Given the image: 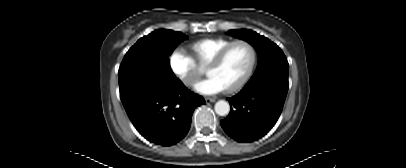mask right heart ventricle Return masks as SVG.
Masks as SVG:
<instances>
[{"instance_id":"1","label":"right heart ventricle","mask_w":406,"mask_h":168,"mask_svg":"<svg viewBox=\"0 0 406 168\" xmlns=\"http://www.w3.org/2000/svg\"><path fill=\"white\" fill-rule=\"evenodd\" d=\"M232 41V39L225 37L203 38L192 42L189 45V50L200 65L206 66L220 49Z\"/></svg>"}]
</instances>
